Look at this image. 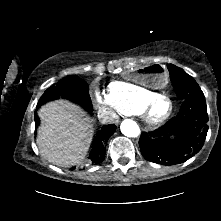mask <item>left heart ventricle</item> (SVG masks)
<instances>
[{"mask_svg": "<svg viewBox=\"0 0 221 221\" xmlns=\"http://www.w3.org/2000/svg\"><path fill=\"white\" fill-rule=\"evenodd\" d=\"M170 109V104L167 100H160L156 103L152 110V114L156 117L165 115Z\"/></svg>", "mask_w": 221, "mask_h": 221, "instance_id": "left-heart-ventricle-1", "label": "left heart ventricle"}]
</instances>
